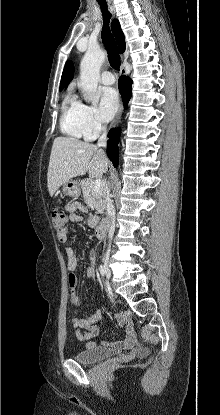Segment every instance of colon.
<instances>
[{
	"label": "colon",
	"mask_w": 220,
	"mask_h": 415,
	"mask_svg": "<svg viewBox=\"0 0 220 415\" xmlns=\"http://www.w3.org/2000/svg\"><path fill=\"white\" fill-rule=\"evenodd\" d=\"M70 216L62 210H56L52 213V222L57 231V234H62L65 230Z\"/></svg>",
	"instance_id": "colon-1"
}]
</instances>
